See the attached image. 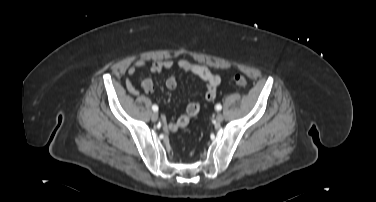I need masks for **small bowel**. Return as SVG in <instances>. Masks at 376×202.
Returning <instances> with one entry per match:
<instances>
[{
	"mask_svg": "<svg viewBox=\"0 0 376 202\" xmlns=\"http://www.w3.org/2000/svg\"><path fill=\"white\" fill-rule=\"evenodd\" d=\"M145 66V62L142 60L136 61L133 63L129 69H128V75L132 76L136 73L137 70L143 68ZM177 66L184 72L192 73L198 78H200L202 81L206 84V89L204 93V99L208 102L213 101L216 98L217 95V88L221 82L220 76L213 71H211L209 68L203 65L194 64L189 60L181 59L177 61L176 63L171 60H164V61H153L149 69L153 73H159L164 70H170L173 67ZM177 78L176 76L172 75L169 78H167L165 82V86L169 90H175L177 88ZM125 86L127 91L132 95H138L139 90L133 85L130 78H127L125 81ZM154 89V84L151 79H145L141 83V90L145 93H151ZM192 108H196L197 112L194 114L191 112ZM200 109V104L198 102H191L186 109L185 114L172 119L168 127L172 131H176L180 128H184L188 125L190 119L195 116Z\"/></svg>",
	"mask_w": 376,
	"mask_h": 202,
	"instance_id": "small-bowel-1",
	"label": "small bowel"
}]
</instances>
